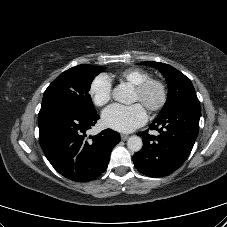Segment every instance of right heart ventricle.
<instances>
[{
    "mask_svg": "<svg viewBox=\"0 0 227 227\" xmlns=\"http://www.w3.org/2000/svg\"><path fill=\"white\" fill-rule=\"evenodd\" d=\"M116 77L121 81L136 86L150 78V74L140 68H128L116 74Z\"/></svg>",
    "mask_w": 227,
    "mask_h": 227,
    "instance_id": "right-heart-ventricle-1",
    "label": "right heart ventricle"
}]
</instances>
